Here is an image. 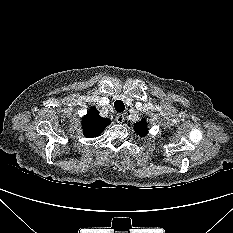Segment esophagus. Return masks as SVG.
<instances>
[{
	"instance_id": "1",
	"label": "esophagus",
	"mask_w": 233,
	"mask_h": 233,
	"mask_svg": "<svg viewBox=\"0 0 233 233\" xmlns=\"http://www.w3.org/2000/svg\"><path fill=\"white\" fill-rule=\"evenodd\" d=\"M124 120H125L124 114L122 113L117 114L116 116L117 123H122Z\"/></svg>"
}]
</instances>
